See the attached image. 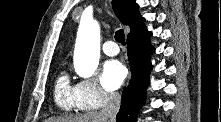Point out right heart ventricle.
I'll list each match as a JSON object with an SVG mask.
<instances>
[{
	"label": "right heart ventricle",
	"mask_w": 221,
	"mask_h": 122,
	"mask_svg": "<svg viewBox=\"0 0 221 122\" xmlns=\"http://www.w3.org/2000/svg\"><path fill=\"white\" fill-rule=\"evenodd\" d=\"M75 88L76 86L71 84L67 72H61L54 87V100L60 109L66 112L79 109L76 100Z\"/></svg>",
	"instance_id": "e07e8e85"
}]
</instances>
